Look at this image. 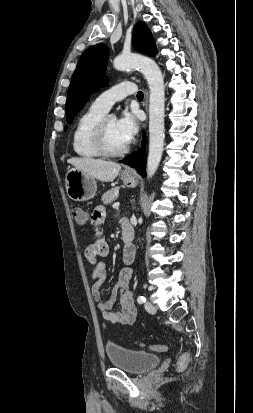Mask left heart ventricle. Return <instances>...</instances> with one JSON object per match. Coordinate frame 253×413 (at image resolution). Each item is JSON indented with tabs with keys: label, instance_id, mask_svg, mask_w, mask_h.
Segmentation results:
<instances>
[{
	"label": "left heart ventricle",
	"instance_id": "left-heart-ventricle-1",
	"mask_svg": "<svg viewBox=\"0 0 253 413\" xmlns=\"http://www.w3.org/2000/svg\"><path fill=\"white\" fill-rule=\"evenodd\" d=\"M105 136L107 144L111 149L116 150L125 146L117 133L116 120L112 117H108L105 122Z\"/></svg>",
	"mask_w": 253,
	"mask_h": 413
}]
</instances>
